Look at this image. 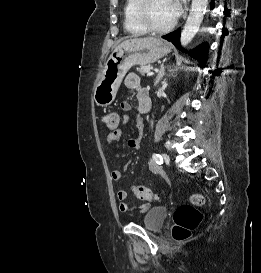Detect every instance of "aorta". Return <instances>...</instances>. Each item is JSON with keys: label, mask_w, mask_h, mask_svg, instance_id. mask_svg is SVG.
I'll return each mask as SVG.
<instances>
[{"label": "aorta", "mask_w": 261, "mask_h": 273, "mask_svg": "<svg viewBox=\"0 0 261 273\" xmlns=\"http://www.w3.org/2000/svg\"><path fill=\"white\" fill-rule=\"evenodd\" d=\"M207 5L208 0H192L189 16L181 32L180 42L182 46H187L199 30Z\"/></svg>", "instance_id": "762f6f07"}]
</instances>
